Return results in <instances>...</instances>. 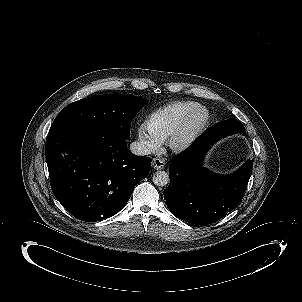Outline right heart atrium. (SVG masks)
<instances>
[{
	"instance_id": "d8ad5b80",
	"label": "right heart atrium",
	"mask_w": 302,
	"mask_h": 302,
	"mask_svg": "<svg viewBox=\"0 0 302 302\" xmlns=\"http://www.w3.org/2000/svg\"><path fill=\"white\" fill-rule=\"evenodd\" d=\"M137 140L140 149L146 153L157 151L163 141L154 133L150 132L144 124L137 128Z\"/></svg>"
}]
</instances>
